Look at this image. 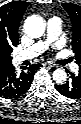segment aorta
<instances>
[{
  "label": "aorta",
  "instance_id": "aorta-1",
  "mask_svg": "<svg viewBox=\"0 0 81 124\" xmlns=\"http://www.w3.org/2000/svg\"><path fill=\"white\" fill-rule=\"evenodd\" d=\"M45 21L37 15H32L30 17H28L25 20L24 23V30L25 32L33 38H39L41 37L44 32H45ZM67 79V73L65 72V70L63 69H56L53 72V80L58 83V84H62L66 81Z\"/></svg>",
  "mask_w": 81,
  "mask_h": 124
}]
</instances>
